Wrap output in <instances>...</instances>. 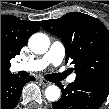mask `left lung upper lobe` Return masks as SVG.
Instances as JSON below:
<instances>
[{"label":"left lung upper lobe","mask_w":109,"mask_h":109,"mask_svg":"<svg viewBox=\"0 0 109 109\" xmlns=\"http://www.w3.org/2000/svg\"><path fill=\"white\" fill-rule=\"evenodd\" d=\"M49 33L61 38L66 63L75 66L76 78L109 86V30L98 19L80 12L41 21Z\"/></svg>","instance_id":"obj_1"}]
</instances>
